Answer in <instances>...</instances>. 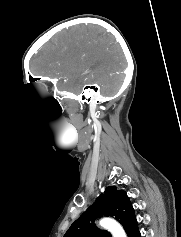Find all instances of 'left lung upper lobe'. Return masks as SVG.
Segmentation results:
<instances>
[{"label":"left lung upper lobe","mask_w":181,"mask_h":237,"mask_svg":"<svg viewBox=\"0 0 181 237\" xmlns=\"http://www.w3.org/2000/svg\"><path fill=\"white\" fill-rule=\"evenodd\" d=\"M102 216L116 218L128 237H135L139 232L134 209L126 192L109 186L105 193L72 223L64 237H111L107 231L99 230L94 224V221Z\"/></svg>","instance_id":"5c2ea615"}]
</instances>
